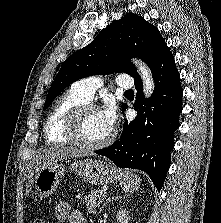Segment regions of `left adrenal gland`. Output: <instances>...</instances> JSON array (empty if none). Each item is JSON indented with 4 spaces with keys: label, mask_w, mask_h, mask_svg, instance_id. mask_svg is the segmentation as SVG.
<instances>
[{
    "label": "left adrenal gland",
    "mask_w": 221,
    "mask_h": 223,
    "mask_svg": "<svg viewBox=\"0 0 221 223\" xmlns=\"http://www.w3.org/2000/svg\"><path fill=\"white\" fill-rule=\"evenodd\" d=\"M127 196H128V195H127ZM125 197H126V195L123 196V198H125ZM121 198H122V196H121L120 194L118 195V193L116 194V196H112V197L108 198V199L104 202V204L102 205V207L100 208L98 214H100V213L102 212L103 208H104L105 206H107L109 202H111V201H113V200L121 199Z\"/></svg>",
    "instance_id": "left-adrenal-gland-1"
}]
</instances>
